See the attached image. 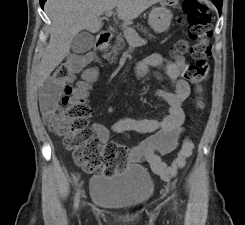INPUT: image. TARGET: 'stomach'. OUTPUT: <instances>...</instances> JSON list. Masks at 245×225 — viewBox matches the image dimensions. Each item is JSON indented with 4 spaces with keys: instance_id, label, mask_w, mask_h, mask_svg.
Instances as JSON below:
<instances>
[{
    "instance_id": "obj_1",
    "label": "stomach",
    "mask_w": 245,
    "mask_h": 225,
    "mask_svg": "<svg viewBox=\"0 0 245 225\" xmlns=\"http://www.w3.org/2000/svg\"><path fill=\"white\" fill-rule=\"evenodd\" d=\"M172 19L173 14L171 10L162 4L151 10L148 17V24L156 33H163L169 29Z\"/></svg>"
}]
</instances>
